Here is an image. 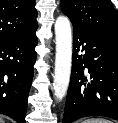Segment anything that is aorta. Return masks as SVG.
I'll return each instance as SVG.
<instances>
[{
  "mask_svg": "<svg viewBox=\"0 0 118 123\" xmlns=\"http://www.w3.org/2000/svg\"><path fill=\"white\" fill-rule=\"evenodd\" d=\"M56 56L53 89L57 100H62L67 93L72 62V31L70 20L59 16L55 22Z\"/></svg>",
  "mask_w": 118,
  "mask_h": 123,
  "instance_id": "aorta-1",
  "label": "aorta"
}]
</instances>
